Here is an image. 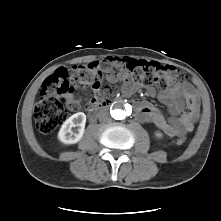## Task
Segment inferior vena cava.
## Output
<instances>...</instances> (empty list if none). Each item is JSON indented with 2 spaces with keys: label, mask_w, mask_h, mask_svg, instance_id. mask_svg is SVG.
I'll return each mask as SVG.
<instances>
[{
  "label": "inferior vena cava",
  "mask_w": 221,
  "mask_h": 221,
  "mask_svg": "<svg viewBox=\"0 0 221 221\" xmlns=\"http://www.w3.org/2000/svg\"><path fill=\"white\" fill-rule=\"evenodd\" d=\"M99 120L102 121V122H104V121H109V120H110L109 113H108V112H105V111L101 112V113L99 114Z\"/></svg>",
  "instance_id": "inferior-vena-cava-1"
}]
</instances>
